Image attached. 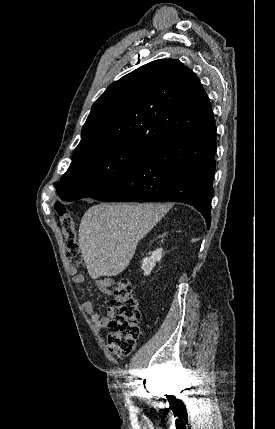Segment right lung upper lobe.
I'll use <instances>...</instances> for the list:
<instances>
[{
    "label": "right lung upper lobe",
    "mask_w": 275,
    "mask_h": 429,
    "mask_svg": "<svg viewBox=\"0 0 275 429\" xmlns=\"http://www.w3.org/2000/svg\"><path fill=\"white\" fill-rule=\"evenodd\" d=\"M215 123L198 77L179 60L152 61L113 82L96 100L72 160L127 144L148 151Z\"/></svg>",
    "instance_id": "obj_1"
}]
</instances>
